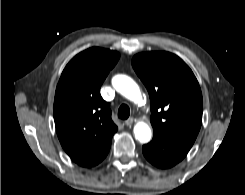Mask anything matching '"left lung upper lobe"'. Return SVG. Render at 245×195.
Returning a JSON list of instances; mask_svg holds the SVG:
<instances>
[{"label": "left lung upper lobe", "mask_w": 245, "mask_h": 195, "mask_svg": "<svg viewBox=\"0 0 245 195\" xmlns=\"http://www.w3.org/2000/svg\"><path fill=\"white\" fill-rule=\"evenodd\" d=\"M132 66L150 96L154 133L194 143L202 123V93L187 64L169 52H144Z\"/></svg>", "instance_id": "5c2ea615"}]
</instances>
